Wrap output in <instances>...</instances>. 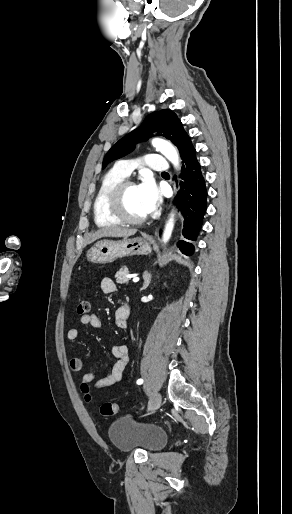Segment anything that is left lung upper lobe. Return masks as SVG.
Here are the masks:
<instances>
[{
	"mask_svg": "<svg viewBox=\"0 0 292 514\" xmlns=\"http://www.w3.org/2000/svg\"><path fill=\"white\" fill-rule=\"evenodd\" d=\"M158 133L177 146L182 157L186 148L191 144V138L186 133L177 115L171 110H160L149 114L143 123L120 139L106 154L102 168L110 162L119 159L134 150L135 144L148 140L150 135Z\"/></svg>",
	"mask_w": 292,
	"mask_h": 514,
	"instance_id": "left-lung-upper-lobe-1",
	"label": "left lung upper lobe"
}]
</instances>
